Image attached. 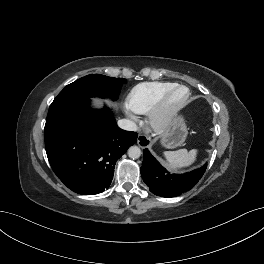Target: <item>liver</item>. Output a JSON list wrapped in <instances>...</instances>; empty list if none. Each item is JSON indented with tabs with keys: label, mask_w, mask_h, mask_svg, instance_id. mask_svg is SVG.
Masks as SVG:
<instances>
[{
	"label": "liver",
	"mask_w": 264,
	"mask_h": 264,
	"mask_svg": "<svg viewBox=\"0 0 264 264\" xmlns=\"http://www.w3.org/2000/svg\"><path fill=\"white\" fill-rule=\"evenodd\" d=\"M95 102H96V103H99V100L95 99ZM108 103H109L110 105H112V106H113V105L116 106V104H113V103H111V102H108Z\"/></svg>",
	"instance_id": "6515ba94"
}]
</instances>
